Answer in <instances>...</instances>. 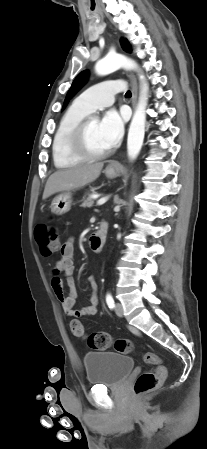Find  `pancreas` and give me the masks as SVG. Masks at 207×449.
<instances>
[{"label":"pancreas","instance_id":"pancreas-1","mask_svg":"<svg viewBox=\"0 0 207 449\" xmlns=\"http://www.w3.org/2000/svg\"><path fill=\"white\" fill-rule=\"evenodd\" d=\"M93 194H94V192H93ZM93 204H94V199L91 196H89L86 199H84V202L82 203L81 206L84 208H86V207L90 208L93 206Z\"/></svg>","mask_w":207,"mask_h":449}]
</instances>
